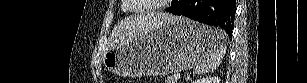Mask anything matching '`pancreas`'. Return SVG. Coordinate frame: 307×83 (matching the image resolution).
Returning <instances> with one entry per match:
<instances>
[{"mask_svg":"<svg viewBox=\"0 0 307 83\" xmlns=\"http://www.w3.org/2000/svg\"><path fill=\"white\" fill-rule=\"evenodd\" d=\"M166 83H176V79L174 78V75H169L167 77Z\"/></svg>","mask_w":307,"mask_h":83,"instance_id":"1","label":"pancreas"}]
</instances>
